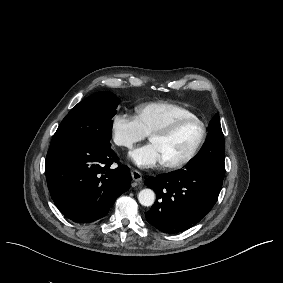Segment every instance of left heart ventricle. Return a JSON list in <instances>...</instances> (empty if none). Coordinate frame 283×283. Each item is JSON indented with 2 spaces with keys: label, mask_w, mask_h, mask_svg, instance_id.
<instances>
[{
  "label": "left heart ventricle",
  "mask_w": 283,
  "mask_h": 283,
  "mask_svg": "<svg viewBox=\"0 0 283 283\" xmlns=\"http://www.w3.org/2000/svg\"><path fill=\"white\" fill-rule=\"evenodd\" d=\"M201 134L199 123L189 121L181 124L170 138H151V143L159 146L165 163L183 160L194 148Z\"/></svg>",
  "instance_id": "1"
}]
</instances>
